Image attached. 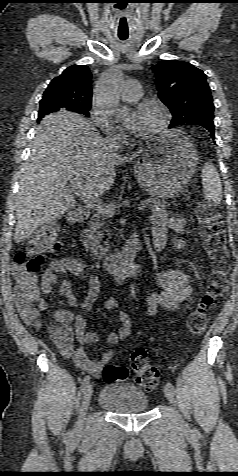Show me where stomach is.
<instances>
[{"instance_id": "obj_1", "label": "stomach", "mask_w": 238, "mask_h": 476, "mask_svg": "<svg viewBox=\"0 0 238 476\" xmlns=\"http://www.w3.org/2000/svg\"><path fill=\"white\" fill-rule=\"evenodd\" d=\"M198 154L186 135L172 130L154 138L134 166L138 182L153 197L174 198L195 173Z\"/></svg>"}]
</instances>
